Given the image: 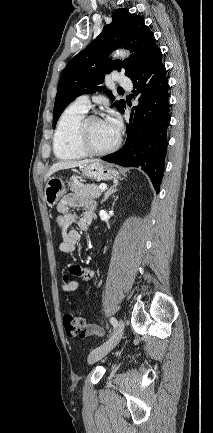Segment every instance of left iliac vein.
<instances>
[{"instance_id": "1", "label": "left iliac vein", "mask_w": 213, "mask_h": 433, "mask_svg": "<svg viewBox=\"0 0 213 433\" xmlns=\"http://www.w3.org/2000/svg\"><path fill=\"white\" fill-rule=\"evenodd\" d=\"M124 332V322L123 320L119 321L118 326L116 327L114 333L109 337V339L104 342L101 346L92 350L88 356V362L93 364L100 359H102L106 354H108L121 340Z\"/></svg>"}]
</instances>
